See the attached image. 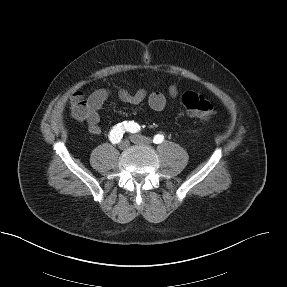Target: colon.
I'll list each match as a JSON object with an SVG mask.
<instances>
[{"label":"colon","instance_id":"colon-1","mask_svg":"<svg viewBox=\"0 0 287 287\" xmlns=\"http://www.w3.org/2000/svg\"><path fill=\"white\" fill-rule=\"evenodd\" d=\"M186 113L204 121L210 120L215 115V108L204 96L186 92L181 98ZM72 115L78 120H85L89 113L88 103L81 93L75 94L71 102Z\"/></svg>","mask_w":287,"mask_h":287}]
</instances>
